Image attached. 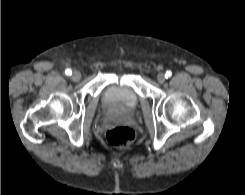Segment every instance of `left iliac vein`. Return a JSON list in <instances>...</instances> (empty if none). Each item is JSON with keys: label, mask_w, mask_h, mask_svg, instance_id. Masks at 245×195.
Wrapping results in <instances>:
<instances>
[{"label": "left iliac vein", "mask_w": 245, "mask_h": 195, "mask_svg": "<svg viewBox=\"0 0 245 195\" xmlns=\"http://www.w3.org/2000/svg\"><path fill=\"white\" fill-rule=\"evenodd\" d=\"M165 79H166V77H165V74H164V73H159V74L157 75V81H158L160 84L164 83V82H165Z\"/></svg>", "instance_id": "obj_1"}]
</instances>
